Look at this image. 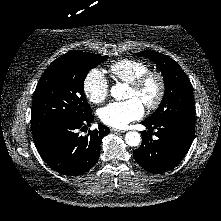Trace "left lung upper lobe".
<instances>
[{
    "mask_svg": "<svg viewBox=\"0 0 221 221\" xmlns=\"http://www.w3.org/2000/svg\"><path fill=\"white\" fill-rule=\"evenodd\" d=\"M154 61L164 78L165 93L158 109L146 121H179L195 126V103L190 81L179 64L170 57L154 52L136 53Z\"/></svg>",
    "mask_w": 221,
    "mask_h": 221,
    "instance_id": "left-lung-upper-lobe-1",
    "label": "left lung upper lobe"
}]
</instances>
